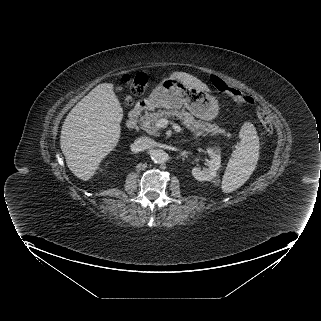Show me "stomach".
Here are the masks:
<instances>
[{"instance_id": "obj_1", "label": "stomach", "mask_w": 321, "mask_h": 321, "mask_svg": "<svg viewBox=\"0 0 321 321\" xmlns=\"http://www.w3.org/2000/svg\"><path fill=\"white\" fill-rule=\"evenodd\" d=\"M146 101L151 108L184 106L192 115L205 121H212L219 113L218 101L214 96L172 77L164 78Z\"/></svg>"}]
</instances>
